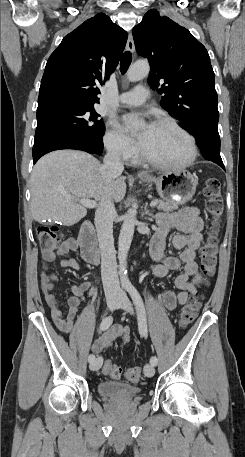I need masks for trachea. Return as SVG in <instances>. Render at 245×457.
<instances>
[{"mask_svg": "<svg viewBox=\"0 0 245 457\" xmlns=\"http://www.w3.org/2000/svg\"><path fill=\"white\" fill-rule=\"evenodd\" d=\"M131 62H132L131 53L129 51L123 53V55L121 57V62H120V70H121L122 74L126 73V71L128 70Z\"/></svg>", "mask_w": 245, "mask_h": 457, "instance_id": "obj_1", "label": "trachea"}]
</instances>
